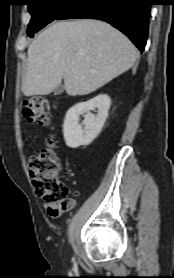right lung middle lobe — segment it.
Here are the masks:
<instances>
[{
    "mask_svg": "<svg viewBox=\"0 0 174 278\" xmlns=\"http://www.w3.org/2000/svg\"><path fill=\"white\" fill-rule=\"evenodd\" d=\"M76 0H28V10L32 15L27 34L34 33L55 20Z\"/></svg>",
    "mask_w": 174,
    "mask_h": 278,
    "instance_id": "right-lung-middle-lobe-1",
    "label": "right lung middle lobe"
}]
</instances>
